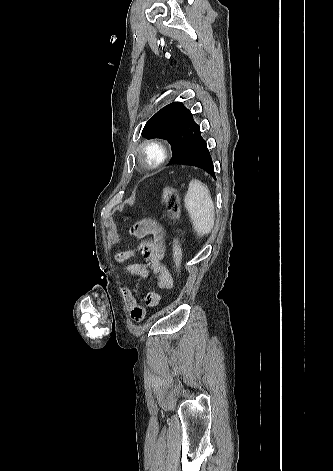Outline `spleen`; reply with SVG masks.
Segmentation results:
<instances>
[{
	"label": "spleen",
	"mask_w": 333,
	"mask_h": 471,
	"mask_svg": "<svg viewBox=\"0 0 333 471\" xmlns=\"http://www.w3.org/2000/svg\"><path fill=\"white\" fill-rule=\"evenodd\" d=\"M184 201L197 233L201 236L211 233L215 222V212L208 187L201 181L193 179Z\"/></svg>",
	"instance_id": "1"
}]
</instances>
